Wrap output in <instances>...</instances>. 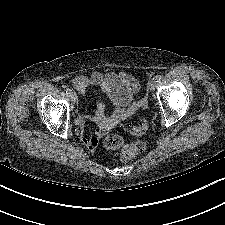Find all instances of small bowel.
I'll list each match as a JSON object with an SVG mask.
<instances>
[{
	"mask_svg": "<svg viewBox=\"0 0 225 225\" xmlns=\"http://www.w3.org/2000/svg\"><path fill=\"white\" fill-rule=\"evenodd\" d=\"M113 83H122L125 84L130 91L136 92L139 88L138 81L130 74L127 73H100L94 72L90 76L78 75L73 78L72 84L73 86L84 93L90 87H97L103 91H108ZM88 116L86 114H80L76 118L75 122L79 129L80 136L82 138L83 143L89 149H95L98 143V139L96 136L87 137L84 133V125L85 120ZM95 119L102 124L103 127L109 126L110 122L104 120L103 118V105L101 103L98 104L96 110ZM101 128L97 131V134L101 132Z\"/></svg>",
	"mask_w": 225,
	"mask_h": 225,
	"instance_id": "c3829d8e",
	"label": "small bowel"
}]
</instances>
